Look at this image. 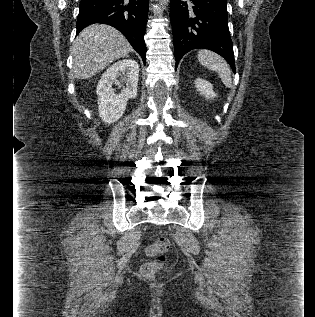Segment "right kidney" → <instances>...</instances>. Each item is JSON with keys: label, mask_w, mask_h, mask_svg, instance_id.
<instances>
[{"label": "right kidney", "mask_w": 315, "mask_h": 317, "mask_svg": "<svg viewBox=\"0 0 315 317\" xmlns=\"http://www.w3.org/2000/svg\"><path fill=\"white\" fill-rule=\"evenodd\" d=\"M122 81L117 80L118 77ZM139 65L135 60L123 59L111 65L101 76L96 93L98 95V112L107 124L116 122L125 112L127 101L137 97ZM126 84L120 94L115 93L113 84Z\"/></svg>", "instance_id": "obj_1"}]
</instances>
